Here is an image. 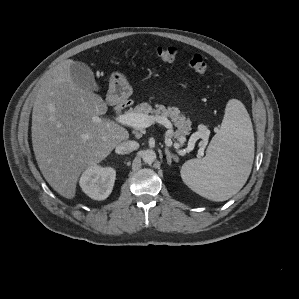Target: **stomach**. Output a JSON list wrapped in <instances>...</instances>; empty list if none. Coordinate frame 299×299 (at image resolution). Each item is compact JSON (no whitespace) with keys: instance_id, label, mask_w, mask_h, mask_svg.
I'll return each mask as SVG.
<instances>
[{"instance_id":"1","label":"stomach","mask_w":299,"mask_h":299,"mask_svg":"<svg viewBox=\"0 0 299 299\" xmlns=\"http://www.w3.org/2000/svg\"><path fill=\"white\" fill-rule=\"evenodd\" d=\"M109 93L118 100L128 98L132 89L126 77L119 72H113L110 76Z\"/></svg>"}]
</instances>
